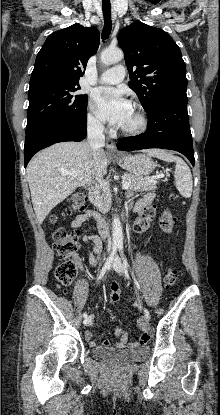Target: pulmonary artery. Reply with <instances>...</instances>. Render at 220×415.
Returning a JSON list of instances; mask_svg holds the SVG:
<instances>
[{
	"instance_id": "obj_1",
	"label": "pulmonary artery",
	"mask_w": 220,
	"mask_h": 415,
	"mask_svg": "<svg viewBox=\"0 0 220 415\" xmlns=\"http://www.w3.org/2000/svg\"><path fill=\"white\" fill-rule=\"evenodd\" d=\"M125 76V70L122 65H117L106 70L99 78L100 83L104 84H118Z\"/></svg>"
}]
</instances>
